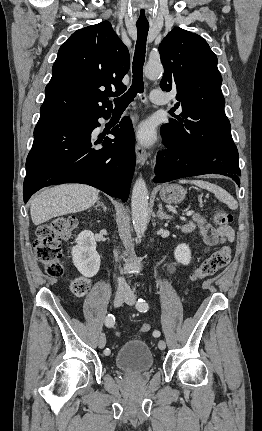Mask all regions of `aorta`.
<instances>
[{
  "label": "aorta",
  "mask_w": 262,
  "mask_h": 431,
  "mask_svg": "<svg viewBox=\"0 0 262 431\" xmlns=\"http://www.w3.org/2000/svg\"><path fill=\"white\" fill-rule=\"evenodd\" d=\"M164 69L160 62H149L144 68V74L149 79L158 78ZM148 189L142 177L138 178L133 186L131 208L132 221L137 237L141 238L148 223Z\"/></svg>",
  "instance_id": "obj_1"
}]
</instances>
